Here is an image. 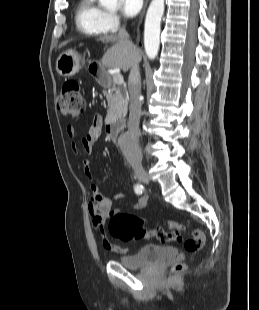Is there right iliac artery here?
I'll return each instance as SVG.
<instances>
[{"instance_id":"1","label":"right iliac artery","mask_w":259,"mask_h":310,"mask_svg":"<svg viewBox=\"0 0 259 310\" xmlns=\"http://www.w3.org/2000/svg\"><path fill=\"white\" fill-rule=\"evenodd\" d=\"M134 190H135V193L138 194V195H141L144 191V187L143 185L137 183L135 186H134Z\"/></svg>"}]
</instances>
